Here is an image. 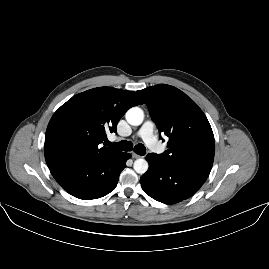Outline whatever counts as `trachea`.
<instances>
[{
  "label": "trachea",
  "instance_id": "trachea-1",
  "mask_svg": "<svg viewBox=\"0 0 269 269\" xmlns=\"http://www.w3.org/2000/svg\"><path fill=\"white\" fill-rule=\"evenodd\" d=\"M107 146L113 147L117 150L121 151H131L132 150V143L129 141H120L117 143L108 142ZM134 152L138 155L144 156L146 153V148L143 144L139 143L135 146Z\"/></svg>",
  "mask_w": 269,
  "mask_h": 269
}]
</instances>
